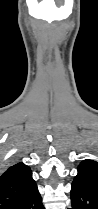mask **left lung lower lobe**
Segmentation results:
<instances>
[{"mask_svg": "<svg viewBox=\"0 0 98 209\" xmlns=\"http://www.w3.org/2000/svg\"><path fill=\"white\" fill-rule=\"evenodd\" d=\"M71 209H98V191L82 184L72 183Z\"/></svg>", "mask_w": 98, "mask_h": 209, "instance_id": "1", "label": "left lung lower lobe"}]
</instances>
